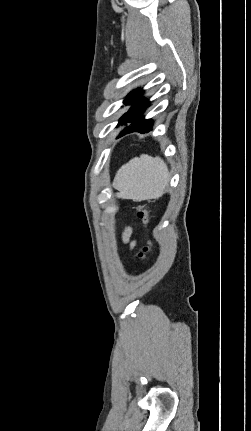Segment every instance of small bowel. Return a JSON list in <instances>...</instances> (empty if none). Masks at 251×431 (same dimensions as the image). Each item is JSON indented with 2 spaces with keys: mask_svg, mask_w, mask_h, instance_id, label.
Segmentation results:
<instances>
[{
  "mask_svg": "<svg viewBox=\"0 0 251 431\" xmlns=\"http://www.w3.org/2000/svg\"><path fill=\"white\" fill-rule=\"evenodd\" d=\"M131 237V231L128 229L126 230L125 234H124V241L126 243L129 244L130 248L132 249L135 245V241L134 240H130Z\"/></svg>",
  "mask_w": 251,
  "mask_h": 431,
  "instance_id": "small-bowel-1",
  "label": "small bowel"
}]
</instances>
